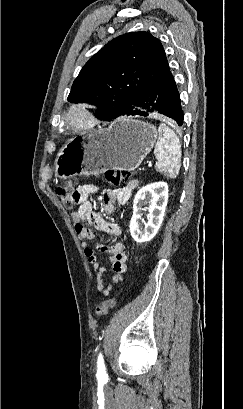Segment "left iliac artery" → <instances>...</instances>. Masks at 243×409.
<instances>
[{
    "instance_id": "obj_1",
    "label": "left iliac artery",
    "mask_w": 243,
    "mask_h": 409,
    "mask_svg": "<svg viewBox=\"0 0 243 409\" xmlns=\"http://www.w3.org/2000/svg\"><path fill=\"white\" fill-rule=\"evenodd\" d=\"M97 378L98 380H104L107 378V374H106V367L104 364V359L102 354L100 353L97 359Z\"/></svg>"
}]
</instances>
